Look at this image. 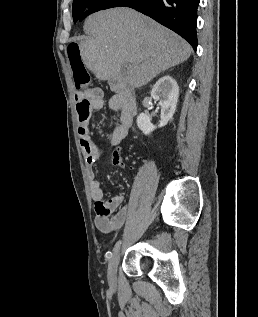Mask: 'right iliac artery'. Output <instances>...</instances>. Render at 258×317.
<instances>
[{
    "label": "right iliac artery",
    "instance_id": "right-iliac-artery-1",
    "mask_svg": "<svg viewBox=\"0 0 258 317\" xmlns=\"http://www.w3.org/2000/svg\"><path fill=\"white\" fill-rule=\"evenodd\" d=\"M121 240H119L116 244H115V246H114V248H113V251H114V253H116L117 251H118V249H119V247H120V245H121Z\"/></svg>",
    "mask_w": 258,
    "mask_h": 317
}]
</instances>
